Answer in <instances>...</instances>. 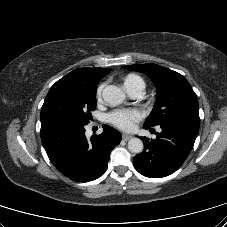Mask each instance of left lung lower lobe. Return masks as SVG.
Returning <instances> with one entry per match:
<instances>
[{"label":"left lung lower lobe","instance_id":"0a47b994","mask_svg":"<svg viewBox=\"0 0 227 227\" xmlns=\"http://www.w3.org/2000/svg\"><path fill=\"white\" fill-rule=\"evenodd\" d=\"M200 123L168 122L155 140L142 137L144 150L133 158L136 170L150 178H161L175 172L193 148ZM148 129V127H144Z\"/></svg>","mask_w":227,"mask_h":227}]
</instances>
